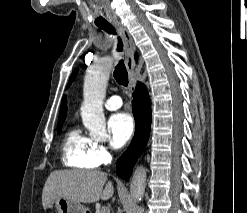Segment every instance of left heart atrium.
<instances>
[{
  "instance_id": "left-heart-atrium-1",
  "label": "left heart atrium",
  "mask_w": 247,
  "mask_h": 213,
  "mask_svg": "<svg viewBox=\"0 0 247 213\" xmlns=\"http://www.w3.org/2000/svg\"><path fill=\"white\" fill-rule=\"evenodd\" d=\"M134 127L133 118L128 113L120 112L112 115L108 121L112 147L124 146L133 135Z\"/></svg>"
}]
</instances>
